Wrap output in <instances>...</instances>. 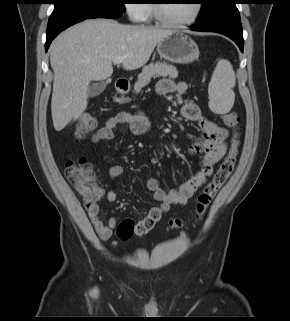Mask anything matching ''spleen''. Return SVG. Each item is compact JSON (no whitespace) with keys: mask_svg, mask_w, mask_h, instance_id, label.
I'll return each mask as SVG.
<instances>
[{"mask_svg":"<svg viewBox=\"0 0 290 321\" xmlns=\"http://www.w3.org/2000/svg\"><path fill=\"white\" fill-rule=\"evenodd\" d=\"M235 72L231 63L220 60L208 86L209 108L217 114L228 113L234 105Z\"/></svg>","mask_w":290,"mask_h":321,"instance_id":"obj_1","label":"spleen"}]
</instances>
